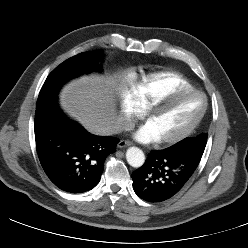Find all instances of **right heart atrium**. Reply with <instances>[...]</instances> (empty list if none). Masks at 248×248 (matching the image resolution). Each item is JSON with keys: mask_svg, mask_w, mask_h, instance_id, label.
Here are the masks:
<instances>
[{"mask_svg": "<svg viewBox=\"0 0 248 248\" xmlns=\"http://www.w3.org/2000/svg\"><path fill=\"white\" fill-rule=\"evenodd\" d=\"M120 110L122 114V128L126 130L130 129L143 114V108L132 91L124 93L121 97Z\"/></svg>", "mask_w": 248, "mask_h": 248, "instance_id": "1", "label": "right heart atrium"}]
</instances>
